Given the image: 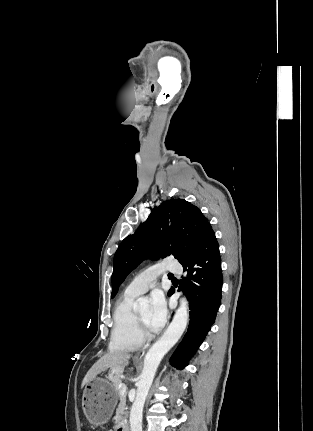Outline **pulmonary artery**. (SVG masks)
<instances>
[{
  "label": "pulmonary artery",
  "mask_w": 313,
  "mask_h": 431,
  "mask_svg": "<svg viewBox=\"0 0 313 431\" xmlns=\"http://www.w3.org/2000/svg\"><path fill=\"white\" fill-rule=\"evenodd\" d=\"M163 272L181 273L182 266L173 259H166L154 264L137 275L126 287L125 293L135 296L145 293L155 284L157 277Z\"/></svg>",
  "instance_id": "e3ab8cb5"
}]
</instances>
